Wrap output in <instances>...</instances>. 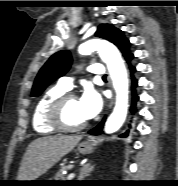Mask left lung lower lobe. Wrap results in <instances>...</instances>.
Here are the masks:
<instances>
[{
  "label": "left lung lower lobe",
  "mask_w": 178,
  "mask_h": 186,
  "mask_svg": "<svg viewBox=\"0 0 178 186\" xmlns=\"http://www.w3.org/2000/svg\"><path fill=\"white\" fill-rule=\"evenodd\" d=\"M132 58H133V55H131L130 57H128L126 60L130 63V61H131ZM130 70H131V73H132V81H133V84H132V88H133V104H132V107H131V111H132V113H134L136 111V106H135L136 101L139 100V97L136 95V92H135V87L137 86L138 81L133 76V73L136 71V68L130 66ZM104 123H105V118L101 121V123L99 125H97L93 129H91L89 131V134L100 135L102 133V129H103ZM128 133H129V131H126L121 136L122 137H127L128 136Z\"/></svg>",
  "instance_id": "left-lung-lower-lobe-1"
}]
</instances>
